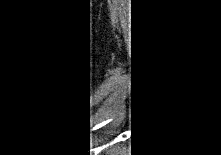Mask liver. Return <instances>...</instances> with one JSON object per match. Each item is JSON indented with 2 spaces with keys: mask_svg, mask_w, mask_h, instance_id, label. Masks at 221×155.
Returning a JSON list of instances; mask_svg holds the SVG:
<instances>
[{
  "mask_svg": "<svg viewBox=\"0 0 221 155\" xmlns=\"http://www.w3.org/2000/svg\"><path fill=\"white\" fill-rule=\"evenodd\" d=\"M98 149H99L98 152L101 153V149L100 148H98ZM110 153H111V155H123V151L118 146L113 148Z\"/></svg>",
  "mask_w": 221,
  "mask_h": 155,
  "instance_id": "obj_1",
  "label": "liver"
}]
</instances>
